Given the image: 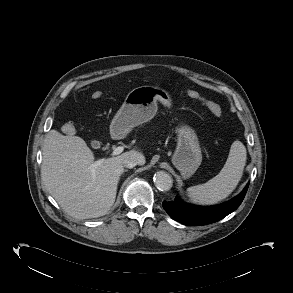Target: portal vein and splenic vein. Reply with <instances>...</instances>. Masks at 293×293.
Here are the masks:
<instances>
[{"label": "portal vein and splenic vein", "instance_id": "18ae733b", "mask_svg": "<svg viewBox=\"0 0 293 293\" xmlns=\"http://www.w3.org/2000/svg\"><path fill=\"white\" fill-rule=\"evenodd\" d=\"M123 150H124V147H123V146H118V147H116V148L112 151L111 155H112V156H117V155L121 154V153L123 152ZM100 164H101V161H96V162L93 164V167H97V166H99Z\"/></svg>", "mask_w": 293, "mask_h": 293}]
</instances>
